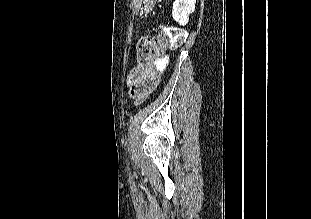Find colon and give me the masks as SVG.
Segmentation results:
<instances>
[{"label":"colon","instance_id":"obj_1","mask_svg":"<svg viewBox=\"0 0 311 219\" xmlns=\"http://www.w3.org/2000/svg\"><path fill=\"white\" fill-rule=\"evenodd\" d=\"M185 39V31L181 28L166 26L156 35H147L139 39L137 44V70H147L152 76H159L160 66L165 61V52L179 46Z\"/></svg>","mask_w":311,"mask_h":219}]
</instances>
